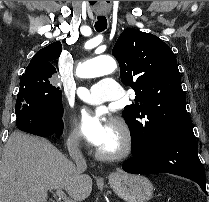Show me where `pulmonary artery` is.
Listing matches in <instances>:
<instances>
[{"label":"pulmonary artery","instance_id":"pulmonary-artery-1","mask_svg":"<svg viewBox=\"0 0 209 202\" xmlns=\"http://www.w3.org/2000/svg\"><path fill=\"white\" fill-rule=\"evenodd\" d=\"M77 95L93 105L102 104L106 100L116 101L119 99V84L113 79L98 80L92 85L80 86Z\"/></svg>","mask_w":209,"mask_h":202}]
</instances>
